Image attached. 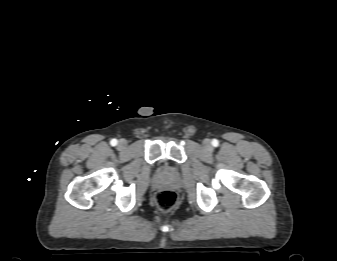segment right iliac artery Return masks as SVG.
<instances>
[{
  "mask_svg": "<svg viewBox=\"0 0 337 261\" xmlns=\"http://www.w3.org/2000/svg\"><path fill=\"white\" fill-rule=\"evenodd\" d=\"M117 143H118L117 139H112V140L110 141V144H111L112 146H116Z\"/></svg>",
  "mask_w": 337,
  "mask_h": 261,
  "instance_id": "right-iliac-artery-1",
  "label": "right iliac artery"
}]
</instances>
